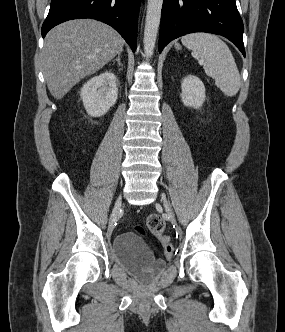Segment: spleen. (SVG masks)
<instances>
[{"instance_id":"obj_1","label":"spleen","mask_w":285,"mask_h":332,"mask_svg":"<svg viewBox=\"0 0 285 332\" xmlns=\"http://www.w3.org/2000/svg\"><path fill=\"white\" fill-rule=\"evenodd\" d=\"M182 44L200 59L205 73L215 79L216 86L229 97L241 86L240 74L227 44L210 33H191L181 39Z\"/></svg>"}]
</instances>
